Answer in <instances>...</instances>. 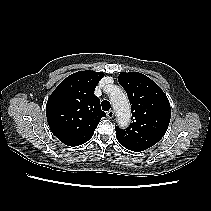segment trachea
Returning <instances> with one entry per match:
<instances>
[{
    "label": "trachea",
    "instance_id": "3493384b",
    "mask_svg": "<svg viewBox=\"0 0 211 211\" xmlns=\"http://www.w3.org/2000/svg\"><path fill=\"white\" fill-rule=\"evenodd\" d=\"M101 106H102V109L104 111H108L110 109V107H111V104H110L109 101L104 100V101H102Z\"/></svg>",
    "mask_w": 211,
    "mask_h": 211
}]
</instances>
